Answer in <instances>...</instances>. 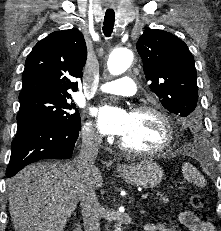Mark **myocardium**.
Segmentation results:
<instances>
[{
	"mask_svg": "<svg viewBox=\"0 0 221 231\" xmlns=\"http://www.w3.org/2000/svg\"><path fill=\"white\" fill-rule=\"evenodd\" d=\"M133 113H149L156 115L165 127V141L155 149L141 150L127 146L122 139L118 140L119 147L127 153L142 156H157L170 149L175 141V130L171 117L168 113L153 105H139L133 109Z\"/></svg>",
	"mask_w": 221,
	"mask_h": 231,
	"instance_id": "1",
	"label": "myocardium"
}]
</instances>
